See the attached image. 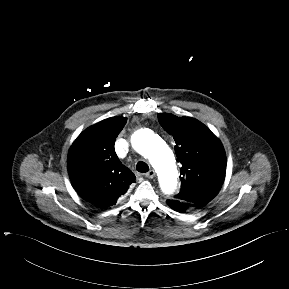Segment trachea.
<instances>
[{
	"mask_svg": "<svg viewBox=\"0 0 289 289\" xmlns=\"http://www.w3.org/2000/svg\"><path fill=\"white\" fill-rule=\"evenodd\" d=\"M136 169L138 172L146 173L149 171V166L145 162L139 161L136 165Z\"/></svg>",
	"mask_w": 289,
	"mask_h": 289,
	"instance_id": "1",
	"label": "trachea"
}]
</instances>
